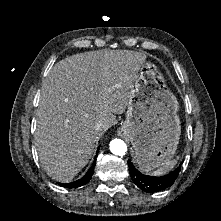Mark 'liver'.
Segmentation results:
<instances>
[{
	"mask_svg": "<svg viewBox=\"0 0 221 221\" xmlns=\"http://www.w3.org/2000/svg\"><path fill=\"white\" fill-rule=\"evenodd\" d=\"M143 52L98 50L57 62L42 83L35 146L52 179L66 183L86 166L99 135L128 107ZM103 123L95 130L96 122Z\"/></svg>",
	"mask_w": 221,
	"mask_h": 221,
	"instance_id": "liver-1",
	"label": "liver"
}]
</instances>
